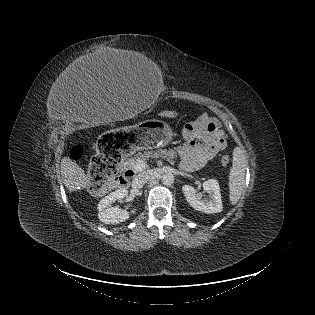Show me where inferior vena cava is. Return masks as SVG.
Here are the masks:
<instances>
[{"label": "inferior vena cava", "mask_w": 315, "mask_h": 315, "mask_svg": "<svg viewBox=\"0 0 315 315\" xmlns=\"http://www.w3.org/2000/svg\"><path fill=\"white\" fill-rule=\"evenodd\" d=\"M152 175L149 170L141 172L133 179L132 185L141 188L152 178Z\"/></svg>", "instance_id": "602c4592"}]
</instances>
